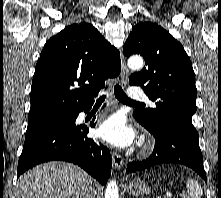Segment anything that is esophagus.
<instances>
[{
    "mask_svg": "<svg viewBox=\"0 0 221 198\" xmlns=\"http://www.w3.org/2000/svg\"><path fill=\"white\" fill-rule=\"evenodd\" d=\"M129 77V70L126 66L124 56L121 52V74H120V84L125 87ZM113 165L116 169H120L123 166L124 160L120 154L117 152L112 153Z\"/></svg>",
    "mask_w": 221,
    "mask_h": 198,
    "instance_id": "esophagus-1",
    "label": "esophagus"
}]
</instances>
